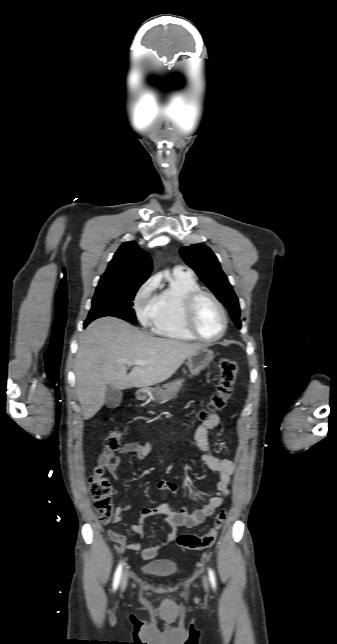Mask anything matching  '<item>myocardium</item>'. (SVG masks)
Masks as SVG:
<instances>
[{"mask_svg":"<svg viewBox=\"0 0 337 644\" xmlns=\"http://www.w3.org/2000/svg\"><path fill=\"white\" fill-rule=\"evenodd\" d=\"M203 297H208L210 298L218 307L221 316H222V329L220 333L211 339L203 337L197 330L196 324H195V316H196V309L199 301ZM183 318H184V324L188 332L198 341H201L203 343H215L219 341L226 333L227 327H228V315L226 312V309L223 305V303L220 301V299L212 292L204 290V289H197L195 291H192L185 299L184 302V309H183Z\"/></svg>","mask_w":337,"mask_h":644,"instance_id":"myocardium-1","label":"myocardium"}]
</instances>
